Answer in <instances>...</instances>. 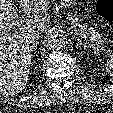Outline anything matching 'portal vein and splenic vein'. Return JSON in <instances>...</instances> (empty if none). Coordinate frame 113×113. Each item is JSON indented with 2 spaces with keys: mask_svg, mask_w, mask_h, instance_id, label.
Here are the masks:
<instances>
[{
  "mask_svg": "<svg viewBox=\"0 0 113 113\" xmlns=\"http://www.w3.org/2000/svg\"><path fill=\"white\" fill-rule=\"evenodd\" d=\"M23 20H24V17L21 16V17L18 19V21H17V25L22 24ZM75 31H77V30H75ZM85 40H86V39H85ZM97 49H99V50H103V49H101V48H97Z\"/></svg>",
  "mask_w": 113,
  "mask_h": 113,
  "instance_id": "portal-vein-and-splenic-vein-1",
  "label": "portal vein and splenic vein"
}]
</instances>
